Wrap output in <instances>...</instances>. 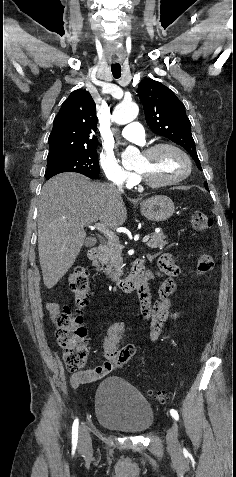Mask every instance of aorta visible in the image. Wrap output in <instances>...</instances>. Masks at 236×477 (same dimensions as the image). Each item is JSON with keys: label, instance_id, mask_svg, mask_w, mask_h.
<instances>
[{"label": "aorta", "instance_id": "762f6f07", "mask_svg": "<svg viewBox=\"0 0 236 477\" xmlns=\"http://www.w3.org/2000/svg\"><path fill=\"white\" fill-rule=\"evenodd\" d=\"M138 112L139 108L136 103L122 102L115 108L113 112V118L118 124H127L137 117ZM135 154H137V150L134 147H128L122 153V160L124 162L128 161Z\"/></svg>", "mask_w": 236, "mask_h": 477}]
</instances>
